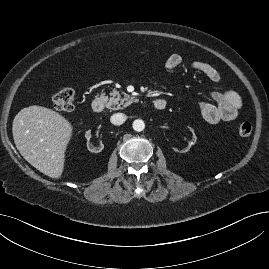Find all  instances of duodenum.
Instances as JSON below:
<instances>
[{"instance_id": "obj_1", "label": "duodenum", "mask_w": 269, "mask_h": 269, "mask_svg": "<svg viewBox=\"0 0 269 269\" xmlns=\"http://www.w3.org/2000/svg\"><path fill=\"white\" fill-rule=\"evenodd\" d=\"M105 104H106L105 96L99 95L93 99L91 107L95 113H100L104 110ZM153 105L157 111H162L166 108L167 101L164 98H158L154 101Z\"/></svg>"}]
</instances>
